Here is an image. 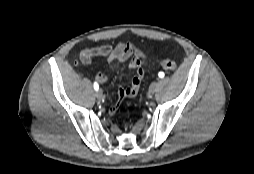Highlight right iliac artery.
Masks as SVG:
<instances>
[{
    "label": "right iliac artery",
    "instance_id": "obj_1",
    "mask_svg": "<svg viewBox=\"0 0 254 174\" xmlns=\"http://www.w3.org/2000/svg\"><path fill=\"white\" fill-rule=\"evenodd\" d=\"M94 89L97 91L99 89V85L97 82H94Z\"/></svg>",
    "mask_w": 254,
    "mask_h": 174
}]
</instances>
